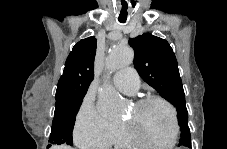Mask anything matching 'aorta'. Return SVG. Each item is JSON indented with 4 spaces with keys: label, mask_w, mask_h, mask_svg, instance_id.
<instances>
[{
    "label": "aorta",
    "mask_w": 227,
    "mask_h": 149,
    "mask_svg": "<svg viewBox=\"0 0 227 149\" xmlns=\"http://www.w3.org/2000/svg\"><path fill=\"white\" fill-rule=\"evenodd\" d=\"M133 51L122 44H115L106 60V68L113 73L130 65L133 61ZM122 99L112 85L106 83L98 91L97 108L105 117H116L121 114Z\"/></svg>",
    "instance_id": "obj_1"
}]
</instances>
